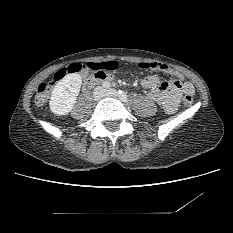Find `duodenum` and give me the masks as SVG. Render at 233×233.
<instances>
[{
    "label": "duodenum",
    "instance_id": "duodenum-1",
    "mask_svg": "<svg viewBox=\"0 0 233 233\" xmlns=\"http://www.w3.org/2000/svg\"><path fill=\"white\" fill-rule=\"evenodd\" d=\"M110 78L108 75L102 73V72H98L96 71L94 74L90 75L86 81H85V85L86 86H93L102 82H107L109 81Z\"/></svg>",
    "mask_w": 233,
    "mask_h": 233
}]
</instances>
